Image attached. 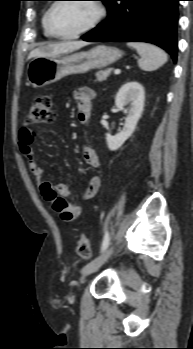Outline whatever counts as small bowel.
I'll list each match as a JSON object with an SVG mask.
<instances>
[{"label": "small bowel", "mask_w": 193, "mask_h": 349, "mask_svg": "<svg viewBox=\"0 0 193 349\" xmlns=\"http://www.w3.org/2000/svg\"><path fill=\"white\" fill-rule=\"evenodd\" d=\"M73 97L77 102L78 116L81 122H87L91 113L92 101L95 97V92L89 87L77 88ZM35 139L33 130L27 122H24L18 135L19 149L28 163L31 174L36 178L39 188L44 198L49 201L53 209L59 214L63 221L70 222L78 218L82 213L81 206L70 200L71 191L65 184H52L50 181L43 179L44 171L39 165L32 144ZM83 158L85 163L91 168L100 166L99 157L96 151L85 145L83 149ZM101 187V178L98 175H93L87 182L82 191V198L85 200L91 199L97 195Z\"/></svg>", "instance_id": "obj_1"}]
</instances>
